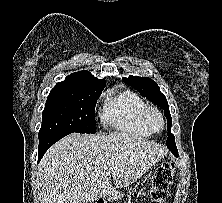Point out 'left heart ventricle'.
Returning a JSON list of instances; mask_svg holds the SVG:
<instances>
[{
    "label": "left heart ventricle",
    "mask_w": 222,
    "mask_h": 203,
    "mask_svg": "<svg viewBox=\"0 0 222 203\" xmlns=\"http://www.w3.org/2000/svg\"><path fill=\"white\" fill-rule=\"evenodd\" d=\"M151 124H152L153 128L156 129V130H159V129L161 128V121H160V119H159L157 116H155V115H153V116L151 117Z\"/></svg>",
    "instance_id": "left-heart-ventricle-1"
}]
</instances>
